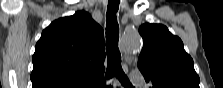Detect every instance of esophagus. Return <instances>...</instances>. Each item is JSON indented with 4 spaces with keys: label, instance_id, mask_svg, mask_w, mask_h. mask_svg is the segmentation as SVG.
<instances>
[{
    "label": "esophagus",
    "instance_id": "34e87169",
    "mask_svg": "<svg viewBox=\"0 0 223 88\" xmlns=\"http://www.w3.org/2000/svg\"><path fill=\"white\" fill-rule=\"evenodd\" d=\"M113 87L114 88H120L121 87L116 78H113Z\"/></svg>",
    "mask_w": 223,
    "mask_h": 88
}]
</instances>
